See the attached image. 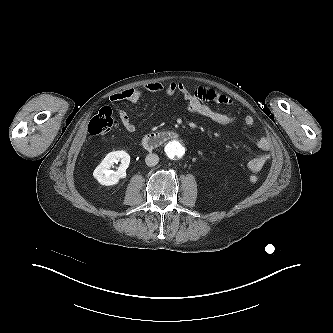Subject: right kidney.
<instances>
[{"instance_id": "right-kidney-1", "label": "right kidney", "mask_w": 333, "mask_h": 333, "mask_svg": "<svg viewBox=\"0 0 333 333\" xmlns=\"http://www.w3.org/2000/svg\"><path fill=\"white\" fill-rule=\"evenodd\" d=\"M121 162L118 170H109L114 163ZM130 163V156L123 150L113 151L106 155L101 163L96 167L93 176L97 181L106 186L116 185L120 179L126 178V169Z\"/></svg>"}]
</instances>
